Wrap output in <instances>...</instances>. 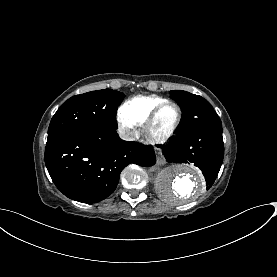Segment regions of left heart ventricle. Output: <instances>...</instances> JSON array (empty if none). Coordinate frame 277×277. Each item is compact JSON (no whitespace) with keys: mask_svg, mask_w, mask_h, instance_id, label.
<instances>
[{"mask_svg":"<svg viewBox=\"0 0 277 277\" xmlns=\"http://www.w3.org/2000/svg\"><path fill=\"white\" fill-rule=\"evenodd\" d=\"M177 118V111L174 106H167L164 108L153 127L152 133L155 135L166 134L174 125Z\"/></svg>","mask_w":277,"mask_h":277,"instance_id":"1","label":"left heart ventricle"}]
</instances>
